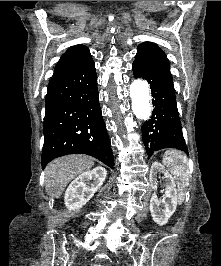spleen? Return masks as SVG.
<instances>
[{
  "instance_id": "1",
  "label": "spleen",
  "mask_w": 221,
  "mask_h": 266,
  "mask_svg": "<svg viewBox=\"0 0 221 266\" xmlns=\"http://www.w3.org/2000/svg\"><path fill=\"white\" fill-rule=\"evenodd\" d=\"M162 162L170 173L174 175L180 194L184 196L190 179L188 158L180 151L167 150Z\"/></svg>"
}]
</instances>
